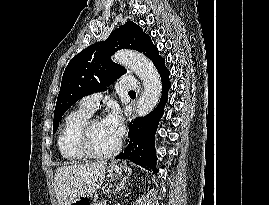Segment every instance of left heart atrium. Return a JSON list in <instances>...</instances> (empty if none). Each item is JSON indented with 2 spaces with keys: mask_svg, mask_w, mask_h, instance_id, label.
<instances>
[{
  "mask_svg": "<svg viewBox=\"0 0 269 205\" xmlns=\"http://www.w3.org/2000/svg\"><path fill=\"white\" fill-rule=\"evenodd\" d=\"M103 122L109 132L119 140L123 134L124 128L119 108L116 105L110 107Z\"/></svg>",
  "mask_w": 269,
  "mask_h": 205,
  "instance_id": "39dd6f15",
  "label": "left heart atrium"
}]
</instances>
